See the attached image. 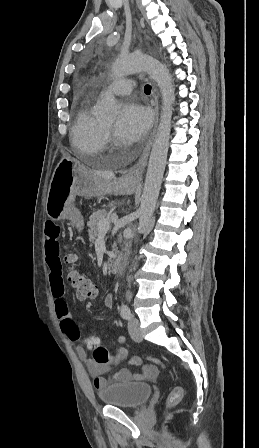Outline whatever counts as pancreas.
<instances>
[{"label": "pancreas", "instance_id": "obj_1", "mask_svg": "<svg viewBox=\"0 0 259 448\" xmlns=\"http://www.w3.org/2000/svg\"><path fill=\"white\" fill-rule=\"evenodd\" d=\"M105 216H107L106 210H98V212H94V214L90 216L89 218L90 222H88L89 242H94V240L98 238L99 234L98 224L100 220H103V218H105ZM115 246L116 244H113L112 248L116 256V254H118V250L117 248H115Z\"/></svg>", "mask_w": 259, "mask_h": 448}]
</instances>
